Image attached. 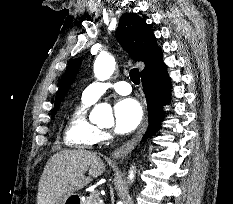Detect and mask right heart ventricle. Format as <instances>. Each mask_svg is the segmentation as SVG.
Here are the masks:
<instances>
[{
	"label": "right heart ventricle",
	"instance_id": "right-heart-ventricle-1",
	"mask_svg": "<svg viewBox=\"0 0 233 204\" xmlns=\"http://www.w3.org/2000/svg\"><path fill=\"white\" fill-rule=\"evenodd\" d=\"M93 102L83 96L72 110L65 127V143L73 148H90L101 141L100 129L87 118V111Z\"/></svg>",
	"mask_w": 233,
	"mask_h": 204
}]
</instances>
